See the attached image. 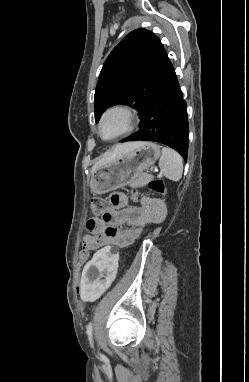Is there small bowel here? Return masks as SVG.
<instances>
[{"mask_svg": "<svg viewBox=\"0 0 249 382\" xmlns=\"http://www.w3.org/2000/svg\"><path fill=\"white\" fill-rule=\"evenodd\" d=\"M108 200L111 208L103 215L93 216L86 222L87 235L83 242L87 251L102 250L103 245L128 246L149 224L162 222L167 214L164 203L159 200L146 198L140 206H133L123 193H113ZM124 223L129 227L122 228Z\"/></svg>", "mask_w": 249, "mask_h": 382, "instance_id": "c3829d8e", "label": "small bowel"}]
</instances>
